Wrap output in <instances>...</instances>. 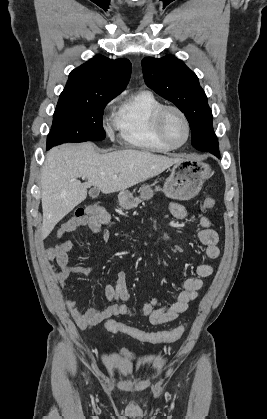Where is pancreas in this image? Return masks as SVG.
Wrapping results in <instances>:
<instances>
[{
  "label": "pancreas",
  "mask_w": 267,
  "mask_h": 419,
  "mask_svg": "<svg viewBox=\"0 0 267 419\" xmlns=\"http://www.w3.org/2000/svg\"><path fill=\"white\" fill-rule=\"evenodd\" d=\"M155 191H161V188L159 186H156ZM141 199H142V197H136L134 199L135 200L134 207H136L142 201Z\"/></svg>",
  "instance_id": "cf45deb5"
}]
</instances>
